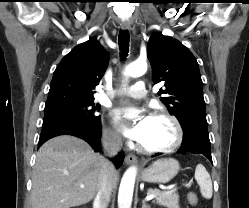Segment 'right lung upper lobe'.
<instances>
[{
  "mask_svg": "<svg viewBox=\"0 0 249 208\" xmlns=\"http://www.w3.org/2000/svg\"><path fill=\"white\" fill-rule=\"evenodd\" d=\"M107 65L108 55L95 38L76 46L54 71L45 107L94 100Z\"/></svg>",
  "mask_w": 249,
  "mask_h": 208,
  "instance_id": "obj_1",
  "label": "right lung upper lobe"
}]
</instances>
